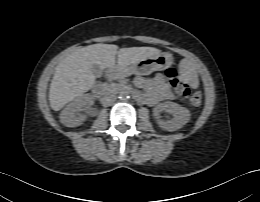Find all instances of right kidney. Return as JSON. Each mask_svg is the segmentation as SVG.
<instances>
[{
  "mask_svg": "<svg viewBox=\"0 0 260 202\" xmlns=\"http://www.w3.org/2000/svg\"><path fill=\"white\" fill-rule=\"evenodd\" d=\"M93 96L91 94H83L69 103L60 113V121L67 127H76L81 125L86 115L81 113L83 107L93 104ZM88 112V111H87Z\"/></svg>",
  "mask_w": 260,
  "mask_h": 202,
  "instance_id": "right-kidney-1",
  "label": "right kidney"
}]
</instances>
